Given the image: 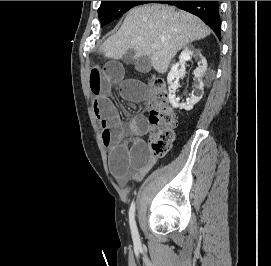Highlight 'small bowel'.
<instances>
[{
    "instance_id": "obj_1",
    "label": "small bowel",
    "mask_w": 271,
    "mask_h": 266,
    "mask_svg": "<svg viewBox=\"0 0 271 266\" xmlns=\"http://www.w3.org/2000/svg\"><path fill=\"white\" fill-rule=\"evenodd\" d=\"M140 69L147 67L138 61ZM118 86L120 95L129 101L140 102L149 96L145 85L135 79L125 78L124 65L116 60L94 67L89 73V87L93 95L92 109L101 126L104 145L109 149V167L121 185L129 178L141 180L154 165L143 137L148 132L144 115H137L123 122L112 101L113 86Z\"/></svg>"
}]
</instances>
